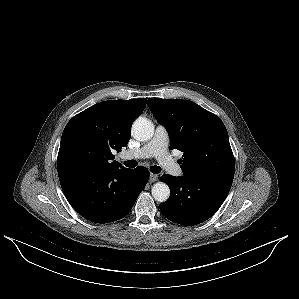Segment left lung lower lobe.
<instances>
[{"label": "left lung lower lobe", "instance_id": "0a47b994", "mask_svg": "<svg viewBox=\"0 0 299 299\" xmlns=\"http://www.w3.org/2000/svg\"><path fill=\"white\" fill-rule=\"evenodd\" d=\"M171 189L169 200L160 204L169 220L186 226L200 224L214 215L226 199L233 179L210 175L161 177Z\"/></svg>", "mask_w": 299, "mask_h": 299}]
</instances>
